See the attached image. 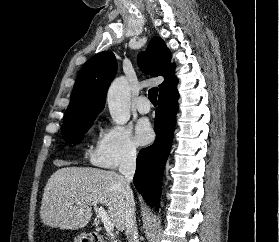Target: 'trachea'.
<instances>
[{
    "label": "trachea",
    "instance_id": "trachea-1",
    "mask_svg": "<svg viewBox=\"0 0 279 242\" xmlns=\"http://www.w3.org/2000/svg\"><path fill=\"white\" fill-rule=\"evenodd\" d=\"M158 88L154 87L149 90L148 98L153 105L157 104Z\"/></svg>",
    "mask_w": 279,
    "mask_h": 242
}]
</instances>
